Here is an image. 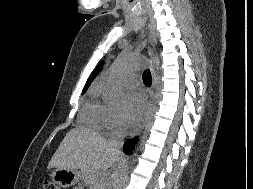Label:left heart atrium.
Returning <instances> with one entry per match:
<instances>
[{"label":"left heart atrium","mask_w":253,"mask_h":189,"mask_svg":"<svg viewBox=\"0 0 253 189\" xmlns=\"http://www.w3.org/2000/svg\"><path fill=\"white\" fill-rule=\"evenodd\" d=\"M147 108L145 98L132 93L127 97L126 106L122 115V123L125 127L135 125L143 116Z\"/></svg>","instance_id":"left-heart-atrium-1"}]
</instances>
